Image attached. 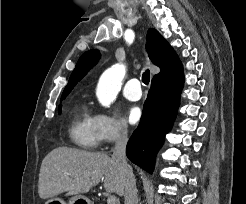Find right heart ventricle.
Listing matches in <instances>:
<instances>
[{
	"label": "right heart ventricle",
	"mask_w": 246,
	"mask_h": 204,
	"mask_svg": "<svg viewBox=\"0 0 246 204\" xmlns=\"http://www.w3.org/2000/svg\"><path fill=\"white\" fill-rule=\"evenodd\" d=\"M71 141L82 149L92 150L99 144L95 116L84 105L73 109L69 125Z\"/></svg>",
	"instance_id": "obj_1"
}]
</instances>
